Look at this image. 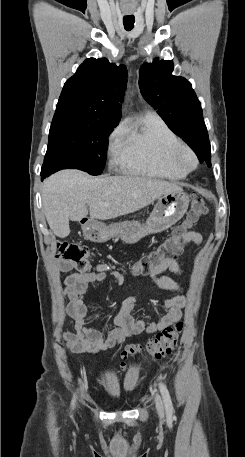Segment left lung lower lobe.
<instances>
[{"mask_svg":"<svg viewBox=\"0 0 245 457\" xmlns=\"http://www.w3.org/2000/svg\"><path fill=\"white\" fill-rule=\"evenodd\" d=\"M200 162L206 161L207 165L211 167V153H210V144H208L204 149H202L198 155Z\"/></svg>","mask_w":245,"mask_h":457,"instance_id":"left-lung-lower-lobe-1","label":"left lung lower lobe"}]
</instances>
